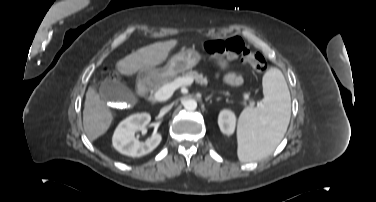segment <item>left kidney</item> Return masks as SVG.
<instances>
[{
  "instance_id": "1",
  "label": "left kidney",
  "mask_w": 376,
  "mask_h": 202,
  "mask_svg": "<svg viewBox=\"0 0 376 202\" xmlns=\"http://www.w3.org/2000/svg\"><path fill=\"white\" fill-rule=\"evenodd\" d=\"M218 124L220 127V130L227 135L233 134L235 130L236 125V117L233 112L229 110H223L221 111L219 118H218Z\"/></svg>"
}]
</instances>
